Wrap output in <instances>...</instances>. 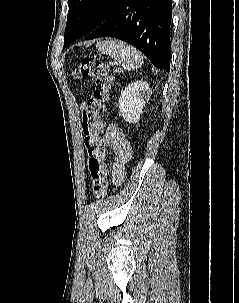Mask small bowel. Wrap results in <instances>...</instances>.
<instances>
[{"mask_svg": "<svg viewBox=\"0 0 239 303\" xmlns=\"http://www.w3.org/2000/svg\"><path fill=\"white\" fill-rule=\"evenodd\" d=\"M104 145L112 157L111 177L114 185H121L126 178V164L131 156V144L127 135L117 126L109 125Z\"/></svg>", "mask_w": 239, "mask_h": 303, "instance_id": "c3829d8e", "label": "small bowel"}]
</instances>
